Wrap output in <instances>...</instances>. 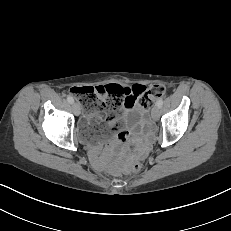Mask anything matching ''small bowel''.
<instances>
[{
    "mask_svg": "<svg viewBox=\"0 0 231 231\" xmlns=\"http://www.w3.org/2000/svg\"><path fill=\"white\" fill-rule=\"evenodd\" d=\"M128 89V94L129 95H134L133 91H132V87H126ZM125 110H126V130L125 132H127L128 136L130 133H135L136 132V129H137V122L139 120V117H140V111L137 109V104H136V101L134 102L133 106L132 107H128L127 106V100L125 101ZM106 116V113L104 111L102 112H99L95 115H92V116H89L87 118V121L86 123L87 124H92L94 125L96 128L97 125H96V122L102 120L104 117ZM113 138L114 141H112V146H115L117 144H119L120 142H123L122 140H120L117 137H115L114 135V132L112 131V123L109 122L108 124V128H107V131L104 133V141H110L112 140ZM128 138V137H127ZM125 141V140H124ZM138 150L141 154H144L147 149L149 148V144L148 142L146 141H142V140H138ZM102 147L103 145H98L96 147L93 148L92 150V154H93V157L96 159V161H98L99 163L101 162L100 160V154H101V151H102Z\"/></svg>",
    "mask_w": 231,
    "mask_h": 231,
    "instance_id": "small-bowel-1",
    "label": "small bowel"
}]
</instances>
